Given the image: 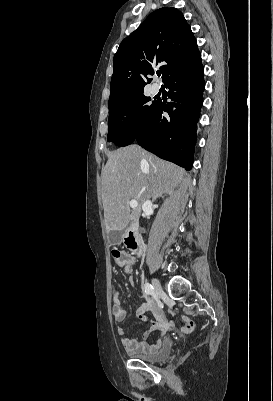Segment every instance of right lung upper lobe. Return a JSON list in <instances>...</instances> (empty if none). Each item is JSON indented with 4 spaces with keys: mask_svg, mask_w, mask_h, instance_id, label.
<instances>
[{
    "mask_svg": "<svg viewBox=\"0 0 273 401\" xmlns=\"http://www.w3.org/2000/svg\"><path fill=\"white\" fill-rule=\"evenodd\" d=\"M201 54L190 26L176 8H160L126 37L114 55L109 107L143 93L147 75L161 64L164 82L172 71L199 60Z\"/></svg>",
    "mask_w": 273,
    "mask_h": 401,
    "instance_id": "obj_1",
    "label": "right lung upper lobe"
}]
</instances>
